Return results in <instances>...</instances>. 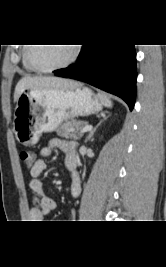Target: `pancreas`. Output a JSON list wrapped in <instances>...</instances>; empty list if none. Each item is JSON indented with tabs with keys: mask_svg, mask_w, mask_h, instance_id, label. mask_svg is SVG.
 I'll return each mask as SVG.
<instances>
[{
	"mask_svg": "<svg viewBox=\"0 0 166 267\" xmlns=\"http://www.w3.org/2000/svg\"><path fill=\"white\" fill-rule=\"evenodd\" d=\"M85 122L82 121H68L60 125L57 129V135L65 138H81L83 133L81 132ZM80 131V132H79Z\"/></svg>",
	"mask_w": 166,
	"mask_h": 267,
	"instance_id": "obj_1",
	"label": "pancreas"
}]
</instances>
